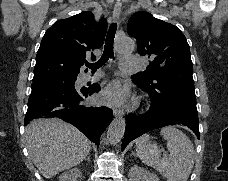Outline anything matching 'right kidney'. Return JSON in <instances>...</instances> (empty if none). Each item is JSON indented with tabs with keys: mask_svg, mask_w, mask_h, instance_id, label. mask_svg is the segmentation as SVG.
Wrapping results in <instances>:
<instances>
[{
	"mask_svg": "<svg viewBox=\"0 0 228 181\" xmlns=\"http://www.w3.org/2000/svg\"><path fill=\"white\" fill-rule=\"evenodd\" d=\"M81 175L82 173L80 169H70V171H67V173L60 175L59 181H78Z\"/></svg>",
	"mask_w": 228,
	"mask_h": 181,
	"instance_id": "ca27d5eb",
	"label": "right kidney"
}]
</instances>
